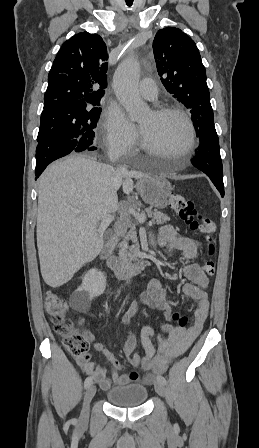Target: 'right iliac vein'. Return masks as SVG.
Returning <instances> with one entry per match:
<instances>
[{"label":"right iliac vein","instance_id":"1","mask_svg":"<svg viewBox=\"0 0 259 448\" xmlns=\"http://www.w3.org/2000/svg\"><path fill=\"white\" fill-rule=\"evenodd\" d=\"M95 393H96V386L90 385L85 393L83 407H82L81 414L79 417V423L82 425L86 424L88 422L89 406H90V402L93 399Z\"/></svg>","mask_w":259,"mask_h":448}]
</instances>
